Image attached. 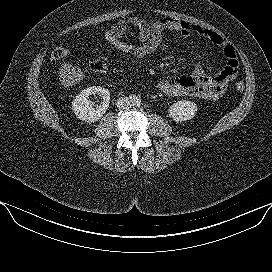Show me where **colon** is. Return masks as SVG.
Masks as SVG:
<instances>
[{"instance_id": "obj_1", "label": "colon", "mask_w": 272, "mask_h": 272, "mask_svg": "<svg viewBox=\"0 0 272 272\" xmlns=\"http://www.w3.org/2000/svg\"><path fill=\"white\" fill-rule=\"evenodd\" d=\"M105 42L117 51L135 58H145L147 56L160 53L162 45L154 41H140L127 35L112 32L110 29L103 35ZM69 51L62 47H56L51 52L54 60H60L67 57ZM107 62L104 59H96L90 62L89 68L95 73H103L107 70ZM238 91H243L245 85L239 81L235 84Z\"/></svg>"}]
</instances>
